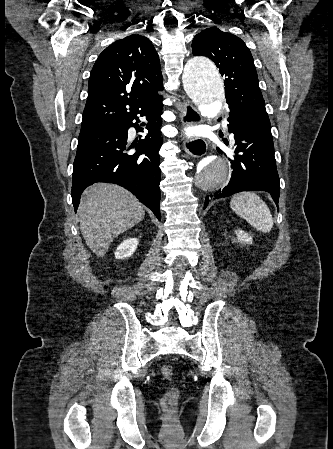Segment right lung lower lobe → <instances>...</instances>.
<instances>
[{
    "mask_svg": "<svg viewBox=\"0 0 333 449\" xmlns=\"http://www.w3.org/2000/svg\"><path fill=\"white\" fill-rule=\"evenodd\" d=\"M162 97L113 124L80 131L73 164L72 203L75 211L83 190L95 182L116 183L131 191L156 217L160 215V136ZM146 116L148 134L136 143L127 141V132Z\"/></svg>",
    "mask_w": 333,
    "mask_h": 449,
    "instance_id": "obj_1",
    "label": "right lung lower lobe"
}]
</instances>
